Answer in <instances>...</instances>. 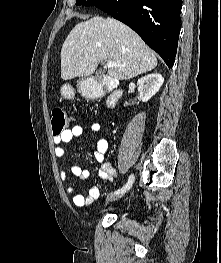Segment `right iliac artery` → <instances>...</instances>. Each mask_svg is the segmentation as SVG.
Listing matches in <instances>:
<instances>
[{
	"label": "right iliac artery",
	"instance_id": "obj_1",
	"mask_svg": "<svg viewBox=\"0 0 221 263\" xmlns=\"http://www.w3.org/2000/svg\"><path fill=\"white\" fill-rule=\"evenodd\" d=\"M134 182V176L133 175H130L129 179H128V182L126 183V185L124 187H122L121 189H118L117 191L114 192V194H119V193H124L126 192L127 190H129L132 186Z\"/></svg>",
	"mask_w": 221,
	"mask_h": 263
}]
</instances>
